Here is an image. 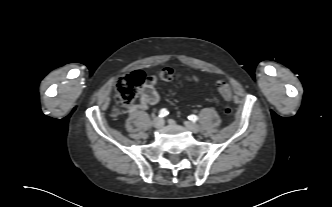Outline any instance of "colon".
Returning <instances> with one entry per match:
<instances>
[{
	"label": "colon",
	"instance_id": "colon-1",
	"mask_svg": "<svg viewBox=\"0 0 332 207\" xmlns=\"http://www.w3.org/2000/svg\"><path fill=\"white\" fill-rule=\"evenodd\" d=\"M178 76L171 68L162 69L158 76L152 77L155 80H161L163 82H169ZM146 80V77L141 71H134L121 77L116 85V100L117 106L113 109V116L119 117L123 112L134 102L142 90V86ZM217 90L226 102H231L232 91L230 85L225 81H219L217 83ZM232 107L227 105L224 108V114L230 116L232 114Z\"/></svg>",
	"mask_w": 332,
	"mask_h": 207
}]
</instances>
